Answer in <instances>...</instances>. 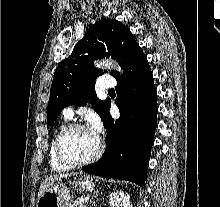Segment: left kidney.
Instances as JSON below:
<instances>
[{
	"instance_id": "obj_1",
	"label": "left kidney",
	"mask_w": 220,
	"mask_h": 207,
	"mask_svg": "<svg viewBox=\"0 0 220 207\" xmlns=\"http://www.w3.org/2000/svg\"><path fill=\"white\" fill-rule=\"evenodd\" d=\"M110 207H132L129 194L123 191L113 192L109 196Z\"/></svg>"
}]
</instances>
